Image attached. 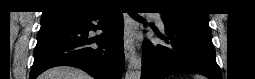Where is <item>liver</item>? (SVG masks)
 Wrapping results in <instances>:
<instances>
[{
    "label": "liver",
    "instance_id": "obj_1",
    "mask_svg": "<svg viewBox=\"0 0 255 79\" xmlns=\"http://www.w3.org/2000/svg\"><path fill=\"white\" fill-rule=\"evenodd\" d=\"M39 79H92L90 75L84 71L69 67V66H59L51 68L45 71L39 76Z\"/></svg>",
    "mask_w": 255,
    "mask_h": 79
}]
</instances>
